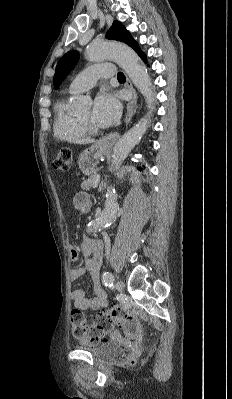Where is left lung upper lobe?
<instances>
[{
	"label": "left lung upper lobe",
	"instance_id": "5c2ea615",
	"mask_svg": "<svg viewBox=\"0 0 232 399\" xmlns=\"http://www.w3.org/2000/svg\"><path fill=\"white\" fill-rule=\"evenodd\" d=\"M106 38L124 42L131 46L134 50L139 48L137 42L132 38L131 34L118 21L113 22L111 29L106 34ZM78 59L79 54L77 51H69L60 59L56 66V72L53 78L55 88L59 87L61 82L77 64Z\"/></svg>",
	"mask_w": 232,
	"mask_h": 399
}]
</instances>
